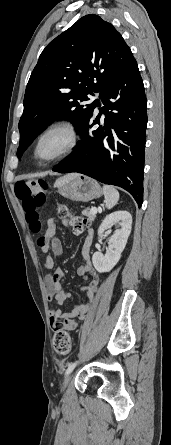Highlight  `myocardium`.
Here are the masks:
<instances>
[{"label":"myocardium","mask_w":171,"mask_h":445,"mask_svg":"<svg viewBox=\"0 0 171 445\" xmlns=\"http://www.w3.org/2000/svg\"><path fill=\"white\" fill-rule=\"evenodd\" d=\"M56 132L63 133L66 136L65 145L55 155L48 158H42L38 154V148L40 143L46 136ZM79 139H80L79 132L73 123L64 120L53 122L49 124L46 128H44L38 135L34 144L33 155L38 161L42 163L55 162L71 154L77 148L79 144Z\"/></svg>","instance_id":"myocardium-1"}]
</instances>
